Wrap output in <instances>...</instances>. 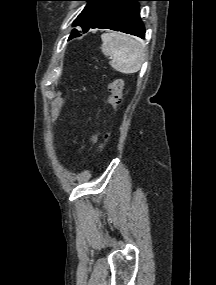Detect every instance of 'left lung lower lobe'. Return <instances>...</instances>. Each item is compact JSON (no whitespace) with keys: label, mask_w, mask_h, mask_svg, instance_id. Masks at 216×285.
I'll use <instances>...</instances> for the list:
<instances>
[{"label":"left lung lower lobe","mask_w":216,"mask_h":285,"mask_svg":"<svg viewBox=\"0 0 216 285\" xmlns=\"http://www.w3.org/2000/svg\"><path fill=\"white\" fill-rule=\"evenodd\" d=\"M139 1L146 0H117L82 32L86 33L90 28H102L145 38L144 25L139 17ZM77 36L80 34L75 31L71 33L69 39Z\"/></svg>","instance_id":"left-lung-lower-lobe-1"}]
</instances>
